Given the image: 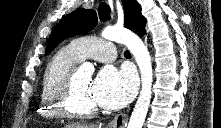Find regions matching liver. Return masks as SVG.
I'll return each mask as SVG.
<instances>
[{"instance_id":"obj_1","label":"liver","mask_w":221,"mask_h":128,"mask_svg":"<svg viewBox=\"0 0 221 128\" xmlns=\"http://www.w3.org/2000/svg\"><path fill=\"white\" fill-rule=\"evenodd\" d=\"M65 128H95V126L90 124L75 123L71 125H66Z\"/></svg>"}]
</instances>
